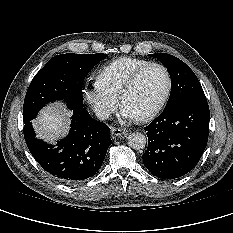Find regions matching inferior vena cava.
Wrapping results in <instances>:
<instances>
[{"instance_id":"1","label":"inferior vena cava","mask_w":233,"mask_h":233,"mask_svg":"<svg viewBox=\"0 0 233 233\" xmlns=\"http://www.w3.org/2000/svg\"><path fill=\"white\" fill-rule=\"evenodd\" d=\"M95 114L97 116V118L101 119V120H107L110 117V110L104 107H100L95 109Z\"/></svg>"}]
</instances>
